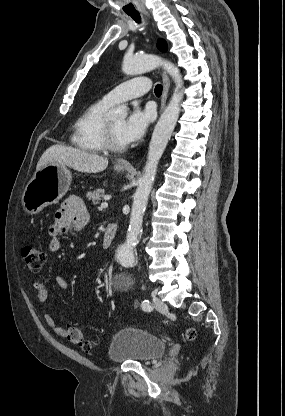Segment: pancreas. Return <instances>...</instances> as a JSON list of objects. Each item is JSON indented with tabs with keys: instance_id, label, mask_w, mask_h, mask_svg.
Masks as SVG:
<instances>
[{
	"instance_id": "1",
	"label": "pancreas",
	"mask_w": 285,
	"mask_h": 416,
	"mask_svg": "<svg viewBox=\"0 0 285 416\" xmlns=\"http://www.w3.org/2000/svg\"><path fill=\"white\" fill-rule=\"evenodd\" d=\"M104 196L105 190H96V192H87L86 194V198H88V200H91L94 206H96V204H99V200H101V198H104Z\"/></svg>"
}]
</instances>
